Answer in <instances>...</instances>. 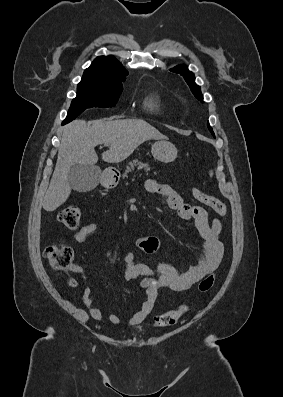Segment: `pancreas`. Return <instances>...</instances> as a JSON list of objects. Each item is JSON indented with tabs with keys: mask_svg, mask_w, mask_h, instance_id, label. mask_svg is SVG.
Masks as SVG:
<instances>
[{
	"mask_svg": "<svg viewBox=\"0 0 283 397\" xmlns=\"http://www.w3.org/2000/svg\"><path fill=\"white\" fill-rule=\"evenodd\" d=\"M135 167H137L138 170L144 169L145 171H149L150 167L148 163H142L137 160H134L133 162L129 163V166L126 168L125 173L123 174V178L128 177V173L132 172L135 170Z\"/></svg>",
	"mask_w": 283,
	"mask_h": 397,
	"instance_id": "cf45deb5",
	"label": "pancreas"
}]
</instances>
